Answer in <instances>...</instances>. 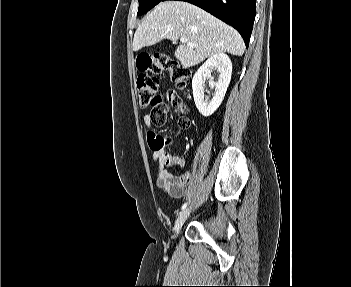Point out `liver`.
I'll return each mask as SVG.
<instances>
[{"instance_id": "obj_1", "label": "liver", "mask_w": 351, "mask_h": 287, "mask_svg": "<svg viewBox=\"0 0 351 287\" xmlns=\"http://www.w3.org/2000/svg\"><path fill=\"white\" fill-rule=\"evenodd\" d=\"M185 38L195 44H180L175 57L184 68L194 66L216 53L228 52L242 56L245 44L231 26L203 9L182 1L159 3L138 26L133 39V50L152 46L163 39L176 42Z\"/></svg>"}]
</instances>
